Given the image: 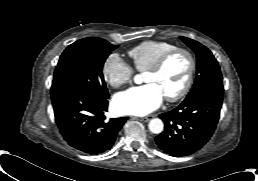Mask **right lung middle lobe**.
<instances>
[{
  "mask_svg": "<svg viewBox=\"0 0 258 181\" xmlns=\"http://www.w3.org/2000/svg\"><path fill=\"white\" fill-rule=\"evenodd\" d=\"M117 47L97 37L84 38L69 45L58 61L52 87L66 85L96 99H108L102 69L108 55Z\"/></svg>",
  "mask_w": 258,
  "mask_h": 181,
  "instance_id": "dd1d6c3e",
  "label": "right lung middle lobe"
}]
</instances>
